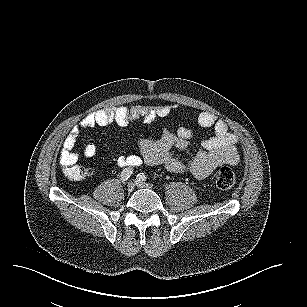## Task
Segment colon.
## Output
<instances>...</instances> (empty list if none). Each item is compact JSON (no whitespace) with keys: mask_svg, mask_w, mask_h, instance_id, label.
<instances>
[{"mask_svg":"<svg viewBox=\"0 0 307 307\" xmlns=\"http://www.w3.org/2000/svg\"><path fill=\"white\" fill-rule=\"evenodd\" d=\"M64 170L66 176L73 180H81L93 174L91 169L76 163L67 165ZM214 182L219 189L228 190L235 184V174L229 167H221L214 174Z\"/></svg>","mask_w":307,"mask_h":307,"instance_id":"1","label":"colon"}]
</instances>
